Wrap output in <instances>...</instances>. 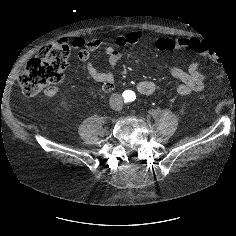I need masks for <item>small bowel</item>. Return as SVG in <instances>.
<instances>
[{
    "mask_svg": "<svg viewBox=\"0 0 236 236\" xmlns=\"http://www.w3.org/2000/svg\"><path fill=\"white\" fill-rule=\"evenodd\" d=\"M142 38L143 35L141 32H130L118 35L115 38L113 45H108L103 49V53L108 58L110 65L113 67L119 65L122 58V54L119 50L120 48L136 44L141 41ZM194 40L202 41L194 37H183L172 41L174 47H190ZM73 45L74 47L81 49L78 57L79 60L85 64L88 76L94 81L101 83L104 92L109 93L113 91L115 88V78L113 74L99 71L91 60V55L101 47V41L99 39H84L77 37L73 40ZM158 69L167 72L180 81L177 91L182 96L200 92L207 80V75L200 72V64L198 62L192 63L187 70L170 65H159ZM137 90L143 95H151L158 92L160 86L153 81L144 80L138 82ZM57 92L58 88L56 86H50L45 90V95L52 98Z\"/></svg>",
    "mask_w": 236,
    "mask_h": 236,
    "instance_id": "obj_1",
    "label": "small bowel"
}]
</instances>
